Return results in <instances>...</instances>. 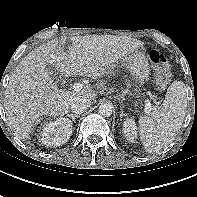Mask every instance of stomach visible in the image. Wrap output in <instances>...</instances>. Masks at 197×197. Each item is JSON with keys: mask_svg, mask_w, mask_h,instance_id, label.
Instances as JSON below:
<instances>
[{"mask_svg": "<svg viewBox=\"0 0 197 197\" xmlns=\"http://www.w3.org/2000/svg\"><path fill=\"white\" fill-rule=\"evenodd\" d=\"M120 63L128 69L140 85L145 84L149 80L150 66L143 52L136 51L123 58Z\"/></svg>", "mask_w": 197, "mask_h": 197, "instance_id": "0dacf381", "label": "stomach"}]
</instances>
